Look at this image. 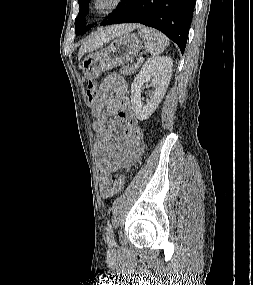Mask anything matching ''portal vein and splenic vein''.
<instances>
[{"label": "portal vein and splenic vein", "instance_id": "1", "mask_svg": "<svg viewBox=\"0 0 253 285\" xmlns=\"http://www.w3.org/2000/svg\"><path fill=\"white\" fill-rule=\"evenodd\" d=\"M142 61H143V58L140 57V58L138 59L137 65H139Z\"/></svg>", "mask_w": 253, "mask_h": 285}]
</instances>
